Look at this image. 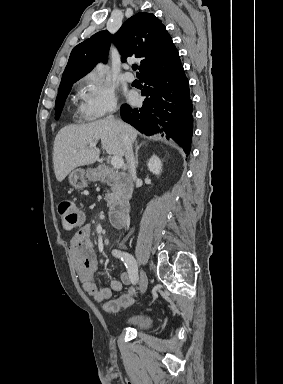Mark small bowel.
I'll return each instance as SVG.
<instances>
[{
  "label": "small bowel",
  "instance_id": "obj_1",
  "mask_svg": "<svg viewBox=\"0 0 283 384\" xmlns=\"http://www.w3.org/2000/svg\"><path fill=\"white\" fill-rule=\"evenodd\" d=\"M92 226L86 224L71 238L69 253L74 270L80 280L83 290L95 301L103 303L112 298L115 292H120L124 286L130 285L127 271L120 274L119 279H113L108 286H100L95 274L99 269L98 253L91 241Z\"/></svg>",
  "mask_w": 283,
  "mask_h": 384
}]
</instances>
